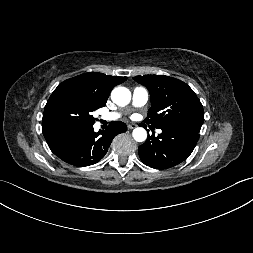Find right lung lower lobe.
<instances>
[{
    "mask_svg": "<svg viewBox=\"0 0 253 253\" xmlns=\"http://www.w3.org/2000/svg\"><path fill=\"white\" fill-rule=\"evenodd\" d=\"M127 130L125 123L113 121L106 130L94 132L93 125L63 126L43 130L51 151L66 163L89 166L100 161L113 138Z\"/></svg>",
    "mask_w": 253,
    "mask_h": 253,
    "instance_id": "98d812e1",
    "label": "right lung lower lobe"
}]
</instances>
